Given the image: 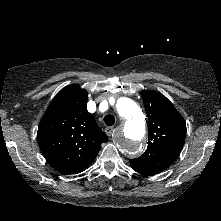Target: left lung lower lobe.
<instances>
[{"label": "left lung lower lobe", "instance_id": "1", "mask_svg": "<svg viewBox=\"0 0 221 221\" xmlns=\"http://www.w3.org/2000/svg\"><path fill=\"white\" fill-rule=\"evenodd\" d=\"M131 167H132V169H133L134 171H136V172H138V173L145 174V175H152V174H150L149 172H147L146 170H144L143 168L138 167V166H136V165H134V164H131Z\"/></svg>", "mask_w": 221, "mask_h": 221}]
</instances>
